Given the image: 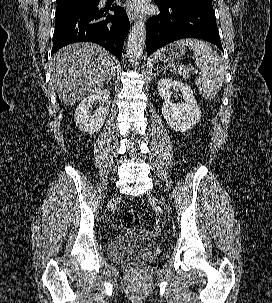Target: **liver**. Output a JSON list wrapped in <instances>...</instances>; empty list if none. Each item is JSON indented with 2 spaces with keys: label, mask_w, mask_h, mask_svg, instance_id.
Returning <instances> with one entry per match:
<instances>
[{
  "label": "liver",
  "mask_w": 272,
  "mask_h": 303,
  "mask_svg": "<svg viewBox=\"0 0 272 303\" xmlns=\"http://www.w3.org/2000/svg\"><path fill=\"white\" fill-rule=\"evenodd\" d=\"M117 64L103 47L89 42L74 43L60 49L52 58V79L59 99L73 105L100 91Z\"/></svg>",
  "instance_id": "obj_1"
}]
</instances>
